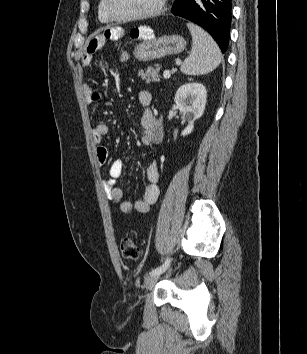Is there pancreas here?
I'll return each instance as SVG.
<instances>
[{
  "label": "pancreas",
  "instance_id": "obj_1",
  "mask_svg": "<svg viewBox=\"0 0 307 354\" xmlns=\"http://www.w3.org/2000/svg\"><path fill=\"white\" fill-rule=\"evenodd\" d=\"M160 69L161 67L156 64L154 66H149L145 70H139L138 76L145 80L146 83H153L160 81Z\"/></svg>",
  "mask_w": 307,
  "mask_h": 354
}]
</instances>
